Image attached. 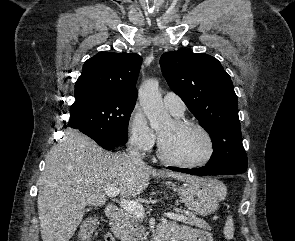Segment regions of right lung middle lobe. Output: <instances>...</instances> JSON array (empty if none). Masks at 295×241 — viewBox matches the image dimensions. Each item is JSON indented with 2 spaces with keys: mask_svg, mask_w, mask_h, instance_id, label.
I'll use <instances>...</instances> for the list:
<instances>
[{
  "mask_svg": "<svg viewBox=\"0 0 295 241\" xmlns=\"http://www.w3.org/2000/svg\"><path fill=\"white\" fill-rule=\"evenodd\" d=\"M135 102L102 94L78 99L70 107L67 126L81 131L99 145H124Z\"/></svg>",
  "mask_w": 295,
  "mask_h": 241,
  "instance_id": "obj_1",
  "label": "right lung middle lobe"
}]
</instances>
